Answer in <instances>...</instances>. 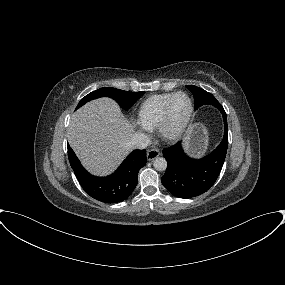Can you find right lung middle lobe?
<instances>
[{
	"instance_id": "dd1d6c3e",
	"label": "right lung middle lobe",
	"mask_w": 285,
	"mask_h": 285,
	"mask_svg": "<svg viewBox=\"0 0 285 285\" xmlns=\"http://www.w3.org/2000/svg\"><path fill=\"white\" fill-rule=\"evenodd\" d=\"M143 94V91L129 92L116 88L104 87L93 91L86 95L84 98H82L76 109H78L88 101L99 97H110L114 99L123 109H129Z\"/></svg>"
}]
</instances>
